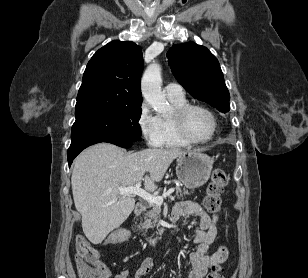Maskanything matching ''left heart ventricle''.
Instances as JSON below:
<instances>
[{
  "label": "left heart ventricle",
  "instance_id": "b2bd125f",
  "mask_svg": "<svg viewBox=\"0 0 308 278\" xmlns=\"http://www.w3.org/2000/svg\"><path fill=\"white\" fill-rule=\"evenodd\" d=\"M185 127L193 138L205 139L210 135L213 123L205 111L193 109L185 117Z\"/></svg>",
  "mask_w": 308,
  "mask_h": 278
}]
</instances>
